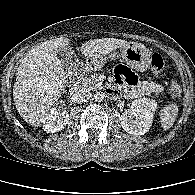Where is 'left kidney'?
<instances>
[{
  "label": "left kidney",
  "mask_w": 195,
  "mask_h": 195,
  "mask_svg": "<svg viewBox=\"0 0 195 195\" xmlns=\"http://www.w3.org/2000/svg\"><path fill=\"white\" fill-rule=\"evenodd\" d=\"M157 102L150 98H138L121 117L122 128L131 135H144L152 126Z\"/></svg>",
  "instance_id": "5707ae66"
}]
</instances>
